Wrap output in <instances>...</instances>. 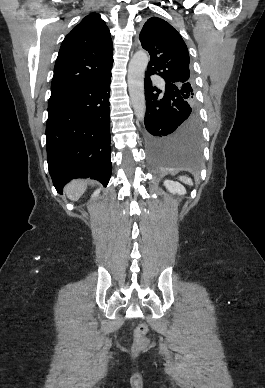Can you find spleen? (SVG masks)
<instances>
[{
    "instance_id": "obj_1",
    "label": "spleen",
    "mask_w": 265,
    "mask_h": 388,
    "mask_svg": "<svg viewBox=\"0 0 265 388\" xmlns=\"http://www.w3.org/2000/svg\"><path fill=\"white\" fill-rule=\"evenodd\" d=\"M179 180H181V182H184V184H188V186H192L191 178H186V176H180Z\"/></svg>"
}]
</instances>
